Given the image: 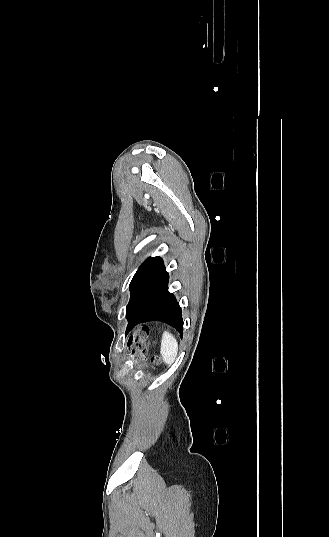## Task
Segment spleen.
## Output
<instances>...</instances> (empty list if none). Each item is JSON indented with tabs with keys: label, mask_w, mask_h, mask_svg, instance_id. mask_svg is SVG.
<instances>
[{
	"label": "spleen",
	"mask_w": 329,
	"mask_h": 537,
	"mask_svg": "<svg viewBox=\"0 0 329 537\" xmlns=\"http://www.w3.org/2000/svg\"><path fill=\"white\" fill-rule=\"evenodd\" d=\"M178 353V343L175 337L169 333L165 332L161 341V355L165 363L171 365L177 356Z\"/></svg>",
	"instance_id": "spleen-1"
}]
</instances>
